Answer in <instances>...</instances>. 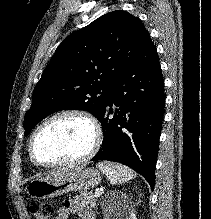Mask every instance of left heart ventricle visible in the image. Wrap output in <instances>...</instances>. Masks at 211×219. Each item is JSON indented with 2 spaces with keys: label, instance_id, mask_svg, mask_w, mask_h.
I'll use <instances>...</instances> for the list:
<instances>
[{
  "label": "left heart ventricle",
  "instance_id": "1",
  "mask_svg": "<svg viewBox=\"0 0 211 219\" xmlns=\"http://www.w3.org/2000/svg\"><path fill=\"white\" fill-rule=\"evenodd\" d=\"M91 143L92 131L84 120L61 117L41 129L34 143V153L45 163L70 161L85 154Z\"/></svg>",
  "mask_w": 211,
  "mask_h": 219
}]
</instances>
